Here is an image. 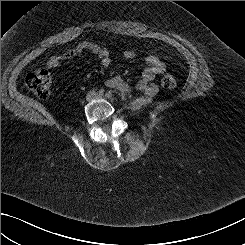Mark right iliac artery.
I'll return each mask as SVG.
<instances>
[{"mask_svg": "<svg viewBox=\"0 0 245 245\" xmlns=\"http://www.w3.org/2000/svg\"><path fill=\"white\" fill-rule=\"evenodd\" d=\"M98 93H99V95H104V90H103V89H100V90L98 91Z\"/></svg>", "mask_w": 245, "mask_h": 245, "instance_id": "right-iliac-artery-1", "label": "right iliac artery"}]
</instances>
